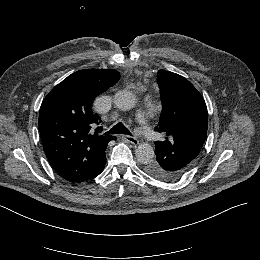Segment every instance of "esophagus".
<instances>
[{"mask_svg": "<svg viewBox=\"0 0 260 260\" xmlns=\"http://www.w3.org/2000/svg\"><path fill=\"white\" fill-rule=\"evenodd\" d=\"M123 138L125 139V141L133 144V145H138L139 144V140L136 137L130 136V135H123Z\"/></svg>", "mask_w": 260, "mask_h": 260, "instance_id": "1", "label": "esophagus"}]
</instances>
